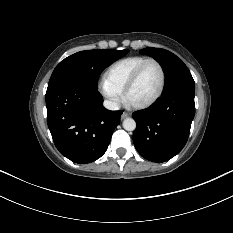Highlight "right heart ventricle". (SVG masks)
<instances>
[{"label":"right heart ventricle","instance_id":"1","mask_svg":"<svg viewBox=\"0 0 233 233\" xmlns=\"http://www.w3.org/2000/svg\"><path fill=\"white\" fill-rule=\"evenodd\" d=\"M147 59L149 58L145 56H130L120 59L108 67L104 79L123 92L132 73Z\"/></svg>","mask_w":233,"mask_h":233}]
</instances>
